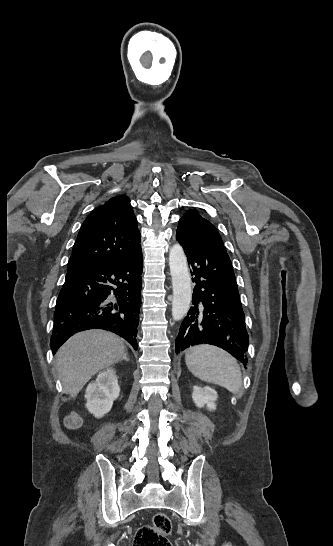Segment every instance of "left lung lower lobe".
Masks as SVG:
<instances>
[{"label":"left lung lower lobe","instance_id":"1","mask_svg":"<svg viewBox=\"0 0 333 546\" xmlns=\"http://www.w3.org/2000/svg\"><path fill=\"white\" fill-rule=\"evenodd\" d=\"M176 239L185 251L195 283L193 306L180 326L176 352L206 343L228 351L245 364L249 338L227 252L196 237L182 223Z\"/></svg>","mask_w":333,"mask_h":546}]
</instances>
